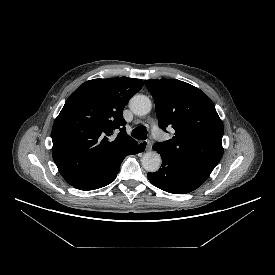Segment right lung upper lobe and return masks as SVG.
<instances>
[{"label":"right lung upper lobe","mask_w":275,"mask_h":275,"mask_svg":"<svg viewBox=\"0 0 275 275\" xmlns=\"http://www.w3.org/2000/svg\"><path fill=\"white\" fill-rule=\"evenodd\" d=\"M142 86L143 80L128 77L93 79L70 95L52 128L53 159L67 183L105 173L138 145L122 113Z\"/></svg>","instance_id":"1"}]
</instances>
